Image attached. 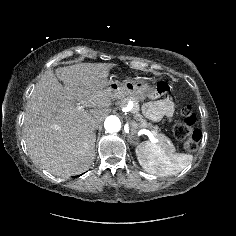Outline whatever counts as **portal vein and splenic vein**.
<instances>
[{"label":"portal vein and splenic vein","instance_id":"18ae733b","mask_svg":"<svg viewBox=\"0 0 236 236\" xmlns=\"http://www.w3.org/2000/svg\"><path fill=\"white\" fill-rule=\"evenodd\" d=\"M77 109H78L79 111H83V110H84V107L81 106V105H77ZM145 134L148 135V137H149V139L151 140V142L155 143V142L157 141V140L155 139V136H154L155 133H154L153 131H148V130H146Z\"/></svg>","mask_w":236,"mask_h":236}]
</instances>
